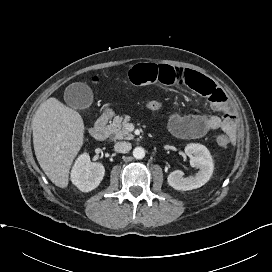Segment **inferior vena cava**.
Instances as JSON below:
<instances>
[{
  "mask_svg": "<svg viewBox=\"0 0 272 272\" xmlns=\"http://www.w3.org/2000/svg\"><path fill=\"white\" fill-rule=\"evenodd\" d=\"M131 143L129 142H117L115 145H114V150L118 153H127L131 150Z\"/></svg>",
  "mask_w": 272,
  "mask_h": 272,
  "instance_id": "obj_1",
  "label": "inferior vena cava"
}]
</instances>
